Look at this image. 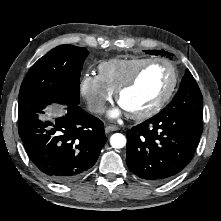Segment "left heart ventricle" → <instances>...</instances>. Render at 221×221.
<instances>
[{
  "label": "left heart ventricle",
  "instance_id": "obj_1",
  "mask_svg": "<svg viewBox=\"0 0 221 221\" xmlns=\"http://www.w3.org/2000/svg\"><path fill=\"white\" fill-rule=\"evenodd\" d=\"M171 82V70L162 63L147 67L138 81L120 98V106L129 113L150 108L167 90Z\"/></svg>",
  "mask_w": 221,
  "mask_h": 221
}]
</instances>
